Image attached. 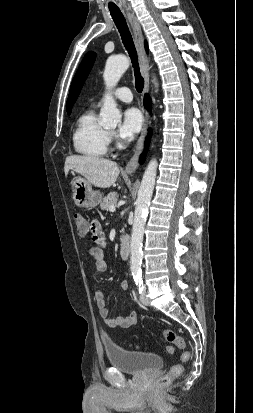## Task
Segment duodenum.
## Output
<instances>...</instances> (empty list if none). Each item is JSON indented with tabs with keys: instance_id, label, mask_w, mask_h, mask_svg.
Wrapping results in <instances>:
<instances>
[{
	"instance_id": "obj_1",
	"label": "duodenum",
	"mask_w": 253,
	"mask_h": 413,
	"mask_svg": "<svg viewBox=\"0 0 253 413\" xmlns=\"http://www.w3.org/2000/svg\"><path fill=\"white\" fill-rule=\"evenodd\" d=\"M130 256V239L128 236H124L121 240L120 257L123 260H127Z\"/></svg>"
}]
</instances>
